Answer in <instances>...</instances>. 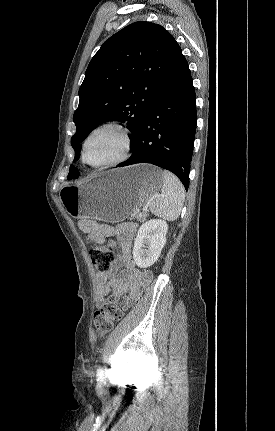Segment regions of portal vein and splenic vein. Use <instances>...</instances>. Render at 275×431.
I'll use <instances>...</instances> for the list:
<instances>
[{
  "label": "portal vein and splenic vein",
  "mask_w": 275,
  "mask_h": 431,
  "mask_svg": "<svg viewBox=\"0 0 275 431\" xmlns=\"http://www.w3.org/2000/svg\"><path fill=\"white\" fill-rule=\"evenodd\" d=\"M158 196L159 195H153L152 197H150L149 200H148V204H150L151 202H153ZM148 204L143 207V211L144 212L148 211Z\"/></svg>",
  "instance_id": "1"
}]
</instances>
